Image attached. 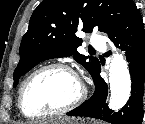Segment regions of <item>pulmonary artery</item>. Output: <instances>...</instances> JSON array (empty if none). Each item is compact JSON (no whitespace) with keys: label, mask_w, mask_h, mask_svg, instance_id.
<instances>
[{"label":"pulmonary artery","mask_w":145,"mask_h":124,"mask_svg":"<svg viewBox=\"0 0 145 124\" xmlns=\"http://www.w3.org/2000/svg\"><path fill=\"white\" fill-rule=\"evenodd\" d=\"M90 42H91V45L99 50H102L104 51L105 50V45H104V42H103V37L102 35H99V34H93L91 36V39H90Z\"/></svg>","instance_id":"obj_1"}]
</instances>
